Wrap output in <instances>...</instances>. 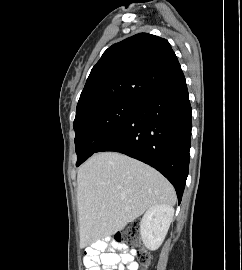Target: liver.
Segmentation results:
<instances>
[{"mask_svg": "<svg viewBox=\"0 0 242 270\" xmlns=\"http://www.w3.org/2000/svg\"><path fill=\"white\" fill-rule=\"evenodd\" d=\"M175 202L173 186L152 167L117 152L94 154L77 174L80 245L115 234L154 205Z\"/></svg>", "mask_w": 242, "mask_h": 270, "instance_id": "obj_1", "label": "liver"}]
</instances>
